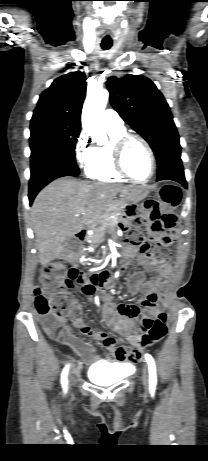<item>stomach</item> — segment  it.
Listing matches in <instances>:
<instances>
[{
  "instance_id": "0dacf381",
  "label": "stomach",
  "mask_w": 208,
  "mask_h": 461,
  "mask_svg": "<svg viewBox=\"0 0 208 461\" xmlns=\"http://www.w3.org/2000/svg\"><path fill=\"white\" fill-rule=\"evenodd\" d=\"M149 191L144 187H136L130 190L128 193L123 194V200L130 204H136L143 200Z\"/></svg>"
}]
</instances>
